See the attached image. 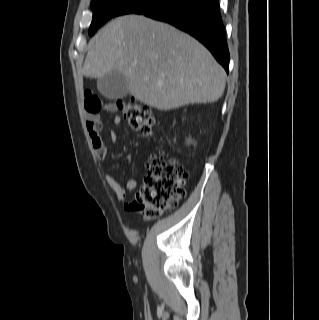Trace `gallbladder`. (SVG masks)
<instances>
[{
  "instance_id": "bac80fb5",
  "label": "gallbladder",
  "mask_w": 319,
  "mask_h": 320,
  "mask_svg": "<svg viewBox=\"0 0 319 320\" xmlns=\"http://www.w3.org/2000/svg\"><path fill=\"white\" fill-rule=\"evenodd\" d=\"M97 88L104 97L111 100L120 99L129 94L127 78L119 72H110L98 79Z\"/></svg>"
}]
</instances>
